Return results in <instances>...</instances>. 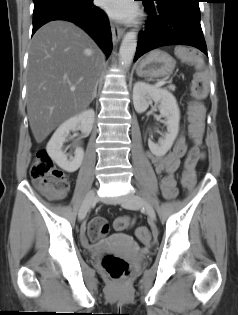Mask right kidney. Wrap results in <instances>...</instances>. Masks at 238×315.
Returning a JSON list of instances; mask_svg holds the SVG:
<instances>
[{
	"label": "right kidney",
	"mask_w": 238,
	"mask_h": 315,
	"mask_svg": "<svg viewBox=\"0 0 238 315\" xmlns=\"http://www.w3.org/2000/svg\"><path fill=\"white\" fill-rule=\"evenodd\" d=\"M94 119L95 112L93 109L85 110L69 118L57 128L48 142L46 147L48 155L66 172L73 173L78 170L84 158V150L81 147H77L74 156L68 158L69 155L62 149L66 137L71 130H76L78 126L84 136H88L91 133Z\"/></svg>",
	"instance_id": "1"
}]
</instances>
